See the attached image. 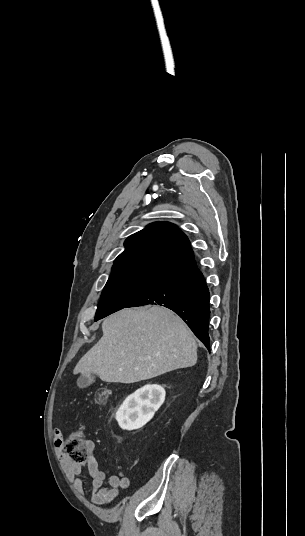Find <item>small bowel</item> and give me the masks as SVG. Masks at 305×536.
I'll list each match as a JSON object with an SVG mask.
<instances>
[{
  "label": "small bowel",
  "mask_w": 305,
  "mask_h": 536,
  "mask_svg": "<svg viewBox=\"0 0 305 536\" xmlns=\"http://www.w3.org/2000/svg\"><path fill=\"white\" fill-rule=\"evenodd\" d=\"M51 437L60 462L68 478L73 482L76 490L82 493L84 481L81 476L83 464L76 461L73 456L63 451L64 442L61 439L60 431L52 432ZM86 466L89 475L92 477L91 498L97 505H108L117 498L121 489H126L130 485L129 478L122 472H118L108 477L107 484H104L105 473L99 468L98 461L93 454V443H87Z\"/></svg>",
  "instance_id": "small-bowel-1"
}]
</instances>
